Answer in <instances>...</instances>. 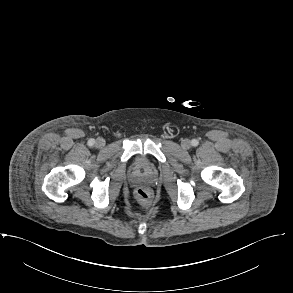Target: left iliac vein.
<instances>
[{
  "label": "left iliac vein",
  "instance_id": "obj_1",
  "mask_svg": "<svg viewBox=\"0 0 293 293\" xmlns=\"http://www.w3.org/2000/svg\"><path fill=\"white\" fill-rule=\"evenodd\" d=\"M181 146L182 148L184 149H189L191 147V141L189 139H184L182 142H181Z\"/></svg>",
  "mask_w": 293,
  "mask_h": 293
}]
</instances>
